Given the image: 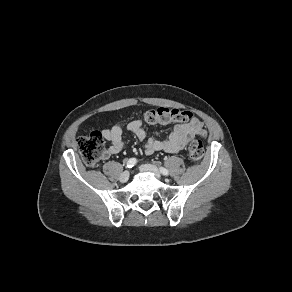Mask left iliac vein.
<instances>
[{
	"instance_id": "left-iliac-vein-1",
	"label": "left iliac vein",
	"mask_w": 292,
	"mask_h": 292,
	"mask_svg": "<svg viewBox=\"0 0 292 292\" xmlns=\"http://www.w3.org/2000/svg\"><path fill=\"white\" fill-rule=\"evenodd\" d=\"M140 170L143 171V172H151L155 175V177L157 179H161V173L160 171L158 170V168L154 165H151V164H144V165H141L140 167Z\"/></svg>"
}]
</instances>
